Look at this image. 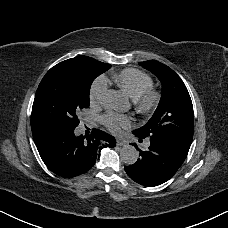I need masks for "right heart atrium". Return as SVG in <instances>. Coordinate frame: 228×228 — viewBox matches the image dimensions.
Here are the masks:
<instances>
[{
	"label": "right heart atrium",
	"instance_id": "right-heart-atrium-1",
	"mask_svg": "<svg viewBox=\"0 0 228 228\" xmlns=\"http://www.w3.org/2000/svg\"><path fill=\"white\" fill-rule=\"evenodd\" d=\"M106 98V87L103 82L96 83L90 92V104L92 106H100L104 103Z\"/></svg>",
	"mask_w": 228,
	"mask_h": 228
}]
</instances>
